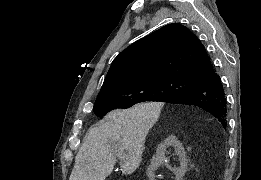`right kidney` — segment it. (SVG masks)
<instances>
[{
  "instance_id": "ca27d5eb",
  "label": "right kidney",
  "mask_w": 261,
  "mask_h": 180,
  "mask_svg": "<svg viewBox=\"0 0 261 180\" xmlns=\"http://www.w3.org/2000/svg\"><path fill=\"white\" fill-rule=\"evenodd\" d=\"M169 146H173L175 148V152L180 160V168L178 170H172L180 180H182L183 176H185L187 170H188V160L186 156V152L179 140H177L176 136H168V138H165L161 144H159L156 154L154 158H152L151 166H149L147 170V176L149 180H154V172L157 170L159 164H163L164 160H166L164 154L169 148Z\"/></svg>"
}]
</instances>
